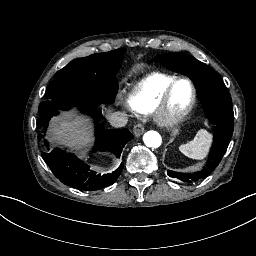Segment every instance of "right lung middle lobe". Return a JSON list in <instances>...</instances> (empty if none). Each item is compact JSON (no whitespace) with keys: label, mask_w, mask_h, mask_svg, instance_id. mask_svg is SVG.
<instances>
[{"label":"right lung middle lobe","mask_w":256,"mask_h":256,"mask_svg":"<svg viewBox=\"0 0 256 256\" xmlns=\"http://www.w3.org/2000/svg\"><path fill=\"white\" fill-rule=\"evenodd\" d=\"M125 48L97 53L71 61L59 70L46 90V101L39 105L44 117L71 104L112 103L117 93L116 73Z\"/></svg>","instance_id":"obj_1"}]
</instances>
